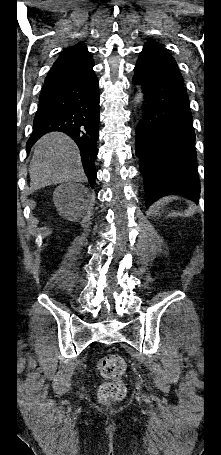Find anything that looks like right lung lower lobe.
Here are the masks:
<instances>
[{
	"label": "right lung lower lobe",
	"mask_w": 221,
	"mask_h": 455,
	"mask_svg": "<svg viewBox=\"0 0 221 455\" xmlns=\"http://www.w3.org/2000/svg\"><path fill=\"white\" fill-rule=\"evenodd\" d=\"M87 51L77 50L58 58L45 79L34 118L30 147L44 134L61 131L78 145L84 171L95 185L94 161L99 136L98 79Z\"/></svg>",
	"instance_id": "1"
}]
</instances>
